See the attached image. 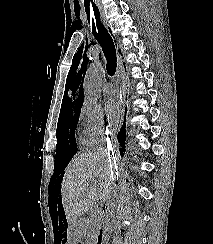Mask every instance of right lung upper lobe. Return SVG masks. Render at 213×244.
<instances>
[{
	"label": "right lung upper lobe",
	"instance_id": "cb5924a9",
	"mask_svg": "<svg viewBox=\"0 0 213 244\" xmlns=\"http://www.w3.org/2000/svg\"><path fill=\"white\" fill-rule=\"evenodd\" d=\"M80 58L78 59L77 64L72 65L69 71L67 82H66L67 88H65V93L62 100L60 113L82 107L84 93H83L82 84L80 85V83H81L82 73L84 72V70H86L87 61L84 60L82 62L80 70L78 74H76V71L80 63ZM69 83H70V87H69Z\"/></svg>",
	"mask_w": 213,
	"mask_h": 244
}]
</instances>
